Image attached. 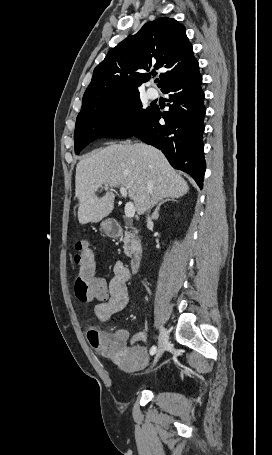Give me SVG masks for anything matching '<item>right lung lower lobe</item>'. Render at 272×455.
<instances>
[{"instance_id":"right-lung-lower-lobe-1","label":"right lung lower lobe","mask_w":272,"mask_h":455,"mask_svg":"<svg viewBox=\"0 0 272 455\" xmlns=\"http://www.w3.org/2000/svg\"><path fill=\"white\" fill-rule=\"evenodd\" d=\"M199 70L162 90L169 95V111L158 107L133 136L162 150L170 164L190 174L202 189L206 164L204 131V92ZM163 118L165 124H160Z\"/></svg>"}]
</instances>
